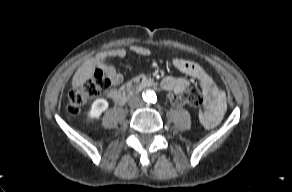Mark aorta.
<instances>
[{
  "label": "aorta",
  "instance_id": "1",
  "mask_svg": "<svg viewBox=\"0 0 292 192\" xmlns=\"http://www.w3.org/2000/svg\"><path fill=\"white\" fill-rule=\"evenodd\" d=\"M143 99L146 102H154L156 100V94L153 90H146L143 92Z\"/></svg>",
  "mask_w": 292,
  "mask_h": 192
}]
</instances>
